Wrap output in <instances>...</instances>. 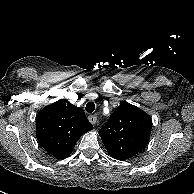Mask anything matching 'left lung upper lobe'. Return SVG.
<instances>
[{
    "label": "left lung upper lobe",
    "instance_id": "1",
    "mask_svg": "<svg viewBox=\"0 0 194 194\" xmlns=\"http://www.w3.org/2000/svg\"><path fill=\"white\" fill-rule=\"evenodd\" d=\"M151 128V117L125 102L111 114L108 123L99 130V135L111 157L126 160L146 147Z\"/></svg>",
    "mask_w": 194,
    "mask_h": 194
}]
</instances>
